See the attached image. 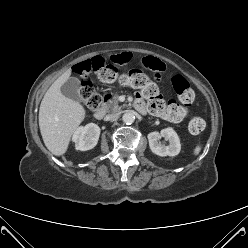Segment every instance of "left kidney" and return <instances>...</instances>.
Wrapping results in <instances>:
<instances>
[{
  "mask_svg": "<svg viewBox=\"0 0 248 248\" xmlns=\"http://www.w3.org/2000/svg\"><path fill=\"white\" fill-rule=\"evenodd\" d=\"M149 147L151 151L159 156H176L181 150V144L177 133L172 128H165L161 132H151L148 134ZM163 137L169 141L165 146L159 143Z\"/></svg>",
  "mask_w": 248,
  "mask_h": 248,
  "instance_id": "obj_1",
  "label": "left kidney"
}]
</instances>
